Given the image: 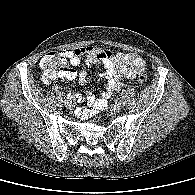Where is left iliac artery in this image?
<instances>
[{"instance_id": "1", "label": "left iliac artery", "mask_w": 195, "mask_h": 195, "mask_svg": "<svg viewBox=\"0 0 195 195\" xmlns=\"http://www.w3.org/2000/svg\"><path fill=\"white\" fill-rule=\"evenodd\" d=\"M116 101H117V102H120V101H121V98L118 97V98L116 99Z\"/></svg>"}]
</instances>
